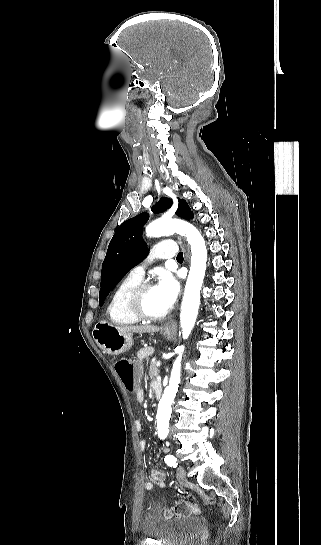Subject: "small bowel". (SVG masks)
<instances>
[{
    "instance_id": "c3829d8e",
    "label": "small bowel",
    "mask_w": 321,
    "mask_h": 545,
    "mask_svg": "<svg viewBox=\"0 0 321 545\" xmlns=\"http://www.w3.org/2000/svg\"><path fill=\"white\" fill-rule=\"evenodd\" d=\"M156 383V382H154ZM153 383V384H154ZM152 384V386H153ZM136 400L138 402H142L144 400V392L141 390V389H138L136 391ZM135 427L137 429V431H142L143 429V426H142V423L140 421H137L135 423ZM139 447L141 449V451H144L147 447V443L145 440H141L140 443H139ZM151 479L152 481H148L144 484V489L147 490V491H150L154 488V484H156L159 488H163L165 486V475L163 473L162 470L160 469H153L151 471Z\"/></svg>"
}]
</instances>
